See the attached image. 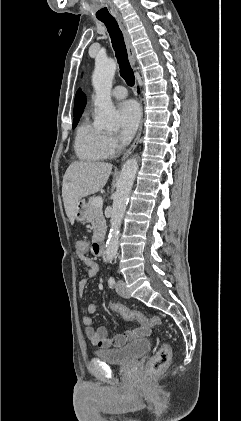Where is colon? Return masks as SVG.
I'll return each instance as SVG.
<instances>
[{
	"mask_svg": "<svg viewBox=\"0 0 241 421\" xmlns=\"http://www.w3.org/2000/svg\"><path fill=\"white\" fill-rule=\"evenodd\" d=\"M91 250L92 248L86 240L77 241L76 251L78 255H87ZM109 307L112 311L120 314L125 320L137 321L150 327L163 326L162 319L159 316L146 317L141 312L128 309L124 305L116 302H111ZM171 354V347L167 343L162 344L148 362V374L152 376L162 372L169 364Z\"/></svg>",
	"mask_w": 241,
	"mask_h": 421,
	"instance_id": "colon-1",
	"label": "colon"
}]
</instances>
